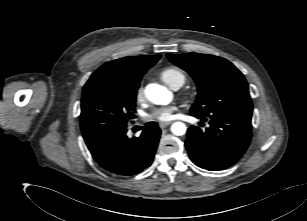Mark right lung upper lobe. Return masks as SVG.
<instances>
[{"label": "right lung upper lobe", "instance_id": "1", "mask_svg": "<svg viewBox=\"0 0 307 221\" xmlns=\"http://www.w3.org/2000/svg\"><path fill=\"white\" fill-rule=\"evenodd\" d=\"M161 55L125 57L105 63L89 78V82L96 79L124 80L132 85H139L143 74L152 67Z\"/></svg>", "mask_w": 307, "mask_h": 221}]
</instances>
